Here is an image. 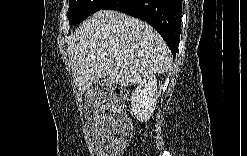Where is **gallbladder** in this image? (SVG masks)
Instances as JSON below:
<instances>
[{
    "instance_id": "bac80fb5",
    "label": "gallbladder",
    "mask_w": 247,
    "mask_h": 156,
    "mask_svg": "<svg viewBox=\"0 0 247 156\" xmlns=\"http://www.w3.org/2000/svg\"><path fill=\"white\" fill-rule=\"evenodd\" d=\"M101 84L103 86H108V87L112 86V82L108 75H105L104 77L101 78Z\"/></svg>"
}]
</instances>
